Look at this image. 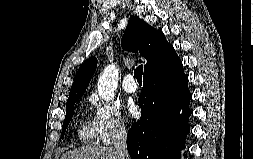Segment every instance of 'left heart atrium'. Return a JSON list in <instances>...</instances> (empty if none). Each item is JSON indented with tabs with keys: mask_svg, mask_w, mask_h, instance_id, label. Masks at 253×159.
<instances>
[{
	"mask_svg": "<svg viewBox=\"0 0 253 159\" xmlns=\"http://www.w3.org/2000/svg\"><path fill=\"white\" fill-rule=\"evenodd\" d=\"M128 112H129V114L131 115V116H135V115H137V107H136V105H134V104H129L128 105Z\"/></svg>",
	"mask_w": 253,
	"mask_h": 159,
	"instance_id": "obj_1",
	"label": "left heart atrium"
}]
</instances>
